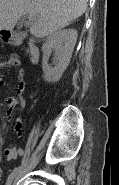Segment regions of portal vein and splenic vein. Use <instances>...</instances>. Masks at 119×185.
Wrapping results in <instances>:
<instances>
[{"instance_id": "1", "label": "portal vein and splenic vein", "mask_w": 119, "mask_h": 185, "mask_svg": "<svg viewBox=\"0 0 119 185\" xmlns=\"http://www.w3.org/2000/svg\"><path fill=\"white\" fill-rule=\"evenodd\" d=\"M28 18L31 20L33 18L32 14H28Z\"/></svg>"}]
</instances>
